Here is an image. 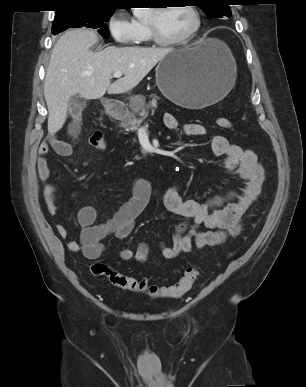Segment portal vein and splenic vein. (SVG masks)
Masks as SVG:
<instances>
[{
    "label": "portal vein and splenic vein",
    "mask_w": 306,
    "mask_h": 387,
    "mask_svg": "<svg viewBox=\"0 0 306 387\" xmlns=\"http://www.w3.org/2000/svg\"><path fill=\"white\" fill-rule=\"evenodd\" d=\"M122 75H123L122 72H115V73L113 74V76H114L115 78H120Z\"/></svg>",
    "instance_id": "obj_1"
}]
</instances>
